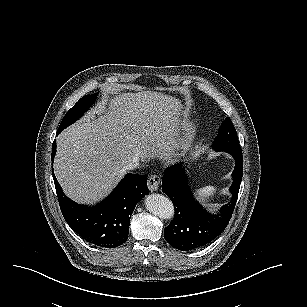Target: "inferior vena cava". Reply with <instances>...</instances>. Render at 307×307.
I'll use <instances>...</instances> for the list:
<instances>
[{
  "mask_svg": "<svg viewBox=\"0 0 307 307\" xmlns=\"http://www.w3.org/2000/svg\"><path fill=\"white\" fill-rule=\"evenodd\" d=\"M139 167H140L139 163L134 161L126 167V171L128 172V171L136 170Z\"/></svg>",
  "mask_w": 307,
  "mask_h": 307,
  "instance_id": "inferior-vena-cava-1",
  "label": "inferior vena cava"
}]
</instances>
